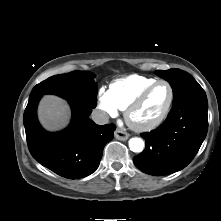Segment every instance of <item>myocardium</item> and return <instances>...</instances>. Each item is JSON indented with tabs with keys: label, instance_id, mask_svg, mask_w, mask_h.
<instances>
[{
	"label": "myocardium",
	"instance_id": "1",
	"mask_svg": "<svg viewBox=\"0 0 221 221\" xmlns=\"http://www.w3.org/2000/svg\"><path fill=\"white\" fill-rule=\"evenodd\" d=\"M160 84H165L169 88V100L167 102L165 109L163 110L161 115L153 121L145 122V123L138 122L135 119L136 111L141 107V105L147 99V97L152 92V90ZM174 98H175L174 89L168 81L162 80V79L155 81L154 83L147 86L127 107V109L125 111V119H126L128 125L132 129L139 131V132H148V131H152V130L158 128L167 119V117L172 109Z\"/></svg>",
	"mask_w": 221,
	"mask_h": 221
}]
</instances>
